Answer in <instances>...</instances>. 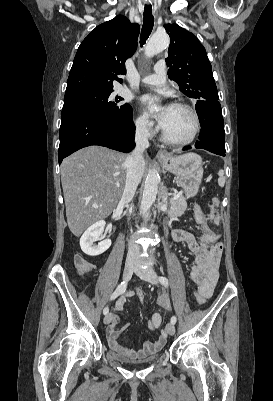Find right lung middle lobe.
Wrapping results in <instances>:
<instances>
[{
    "mask_svg": "<svg viewBox=\"0 0 273 401\" xmlns=\"http://www.w3.org/2000/svg\"><path fill=\"white\" fill-rule=\"evenodd\" d=\"M113 90H94L65 95L61 119L75 115L90 114L127 122L131 106L121 104V97H112Z\"/></svg>",
    "mask_w": 273,
    "mask_h": 401,
    "instance_id": "1",
    "label": "right lung middle lobe"
}]
</instances>
